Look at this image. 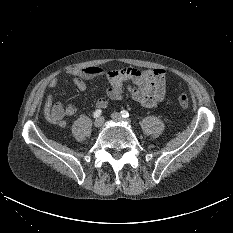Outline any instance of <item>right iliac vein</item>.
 <instances>
[{"label":"right iliac vein","instance_id":"1","mask_svg":"<svg viewBox=\"0 0 233 233\" xmlns=\"http://www.w3.org/2000/svg\"><path fill=\"white\" fill-rule=\"evenodd\" d=\"M104 124V118L100 117V118H97L94 122V126L96 128H100L102 127V125Z\"/></svg>","mask_w":233,"mask_h":233}]
</instances>
